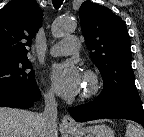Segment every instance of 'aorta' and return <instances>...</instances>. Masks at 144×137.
Wrapping results in <instances>:
<instances>
[{
  "instance_id": "obj_1",
  "label": "aorta",
  "mask_w": 144,
  "mask_h": 137,
  "mask_svg": "<svg viewBox=\"0 0 144 137\" xmlns=\"http://www.w3.org/2000/svg\"><path fill=\"white\" fill-rule=\"evenodd\" d=\"M75 29V23L70 18H58L52 24V35L55 38L62 37Z\"/></svg>"
}]
</instances>
